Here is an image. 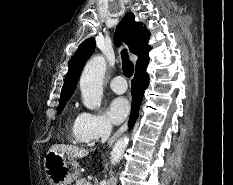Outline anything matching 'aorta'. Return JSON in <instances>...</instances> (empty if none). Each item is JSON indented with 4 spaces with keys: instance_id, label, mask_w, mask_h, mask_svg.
Instances as JSON below:
<instances>
[{
    "instance_id": "762f6f07",
    "label": "aorta",
    "mask_w": 233,
    "mask_h": 185,
    "mask_svg": "<svg viewBox=\"0 0 233 185\" xmlns=\"http://www.w3.org/2000/svg\"><path fill=\"white\" fill-rule=\"evenodd\" d=\"M106 71V60L103 56L92 58L85 66L80 78V90L84 106L89 110H97L101 106L103 96L102 82ZM129 143L127 136L118 139L111 151V164L116 165L123 157Z\"/></svg>"
}]
</instances>
